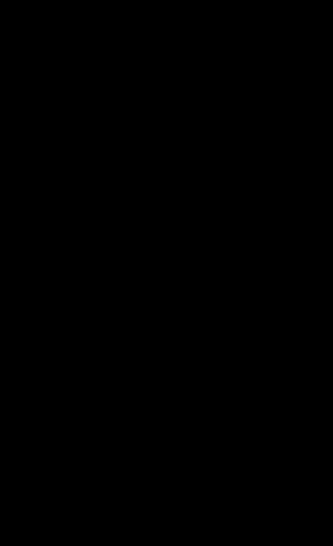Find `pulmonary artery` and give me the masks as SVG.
<instances>
[{
	"instance_id": "1",
	"label": "pulmonary artery",
	"mask_w": 333,
	"mask_h": 546,
	"mask_svg": "<svg viewBox=\"0 0 333 546\" xmlns=\"http://www.w3.org/2000/svg\"><path fill=\"white\" fill-rule=\"evenodd\" d=\"M76 14H89V13H76Z\"/></svg>"
}]
</instances>
